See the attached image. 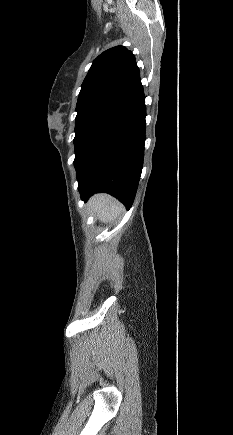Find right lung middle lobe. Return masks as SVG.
Returning a JSON list of instances; mask_svg holds the SVG:
<instances>
[{
  "label": "right lung middle lobe",
  "instance_id": "right-lung-middle-lobe-1",
  "mask_svg": "<svg viewBox=\"0 0 233 435\" xmlns=\"http://www.w3.org/2000/svg\"><path fill=\"white\" fill-rule=\"evenodd\" d=\"M124 115L111 112H97L75 120V160L74 166L83 161L90 150L114 127Z\"/></svg>",
  "mask_w": 233,
  "mask_h": 435
}]
</instances>
